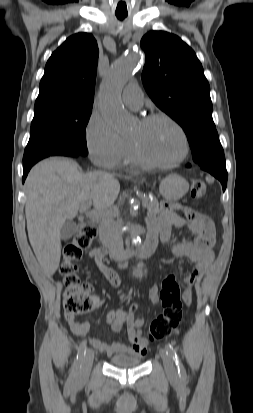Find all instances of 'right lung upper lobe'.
<instances>
[{"label":"right lung upper lobe","instance_id":"1","mask_svg":"<svg viewBox=\"0 0 253 413\" xmlns=\"http://www.w3.org/2000/svg\"><path fill=\"white\" fill-rule=\"evenodd\" d=\"M97 63L98 46L92 34L77 33L69 37L45 66L34 113L92 108Z\"/></svg>","mask_w":253,"mask_h":413}]
</instances>
